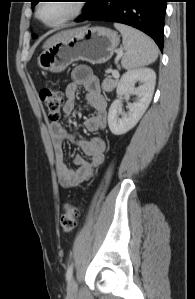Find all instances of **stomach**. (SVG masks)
<instances>
[{"instance_id":"stomach-1","label":"stomach","mask_w":195,"mask_h":299,"mask_svg":"<svg viewBox=\"0 0 195 299\" xmlns=\"http://www.w3.org/2000/svg\"><path fill=\"white\" fill-rule=\"evenodd\" d=\"M119 43L118 33L106 27L73 29L39 55L38 65L46 71L59 73L79 60L102 64L112 57Z\"/></svg>"}]
</instances>
